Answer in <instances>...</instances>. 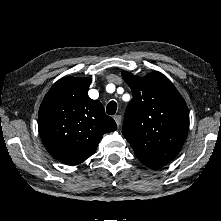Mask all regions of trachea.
Masks as SVG:
<instances>
[{
  "instance_id": "obj_1",
  "label": "trachea",
  "mask_w": 221,
  "mask_h": 221,
  "mask_svg": "<svg viewBox=\"0 0 221 221\" xmlns=\"http://www.w3.org/2000/svg\"><path fill=\"white\" fill-rule=\"evenodd\" d=\"M117 110V103L115 101H110L106 107V113L108 115H114Z\"/></svg>"
}]
</instances>
